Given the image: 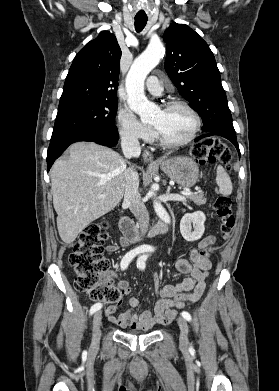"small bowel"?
Wrapping results in <instances>:
<instances>
[{
  "instance_id": "obj_1",
  "label": "small bowel",
  "mask_w": 279,
  "mask_h": 391,
  "mask_svg": "<svg viewBox=\"0 0 279 391\" xmlns=\"http://www.w3.org/2000/svg\"><path fill=\"white\" fill-rule=\"evenodd\" d=\"M214 242L215 236L208 235L199 242L198 249L191 251L189 259L179 258L176 260L177 270L189 275V277L176 285H166L160 288L158 290L159 300L155 303L153 313L148 310L138 313L139 300L131 297L127 301L129 309L119 315L115 314L117 303L108 306L105 311L107 318L120 327L136 330H149L159 324H169L176 315L177 309L183 307L186 302L197 301L202 296L206 287V278L212 265L210 258L204 257L202 251ZM125 244L122 240L121 245ZM118 248V245H109L106 251L107 253H113ZM153 278L156 286H158L157 274H154ZM118 288L125 295L131 291L127 280H120ZM180 293H187L186 301L175 307H170L171 299Z\"/></svg>"
}]
</instances>
